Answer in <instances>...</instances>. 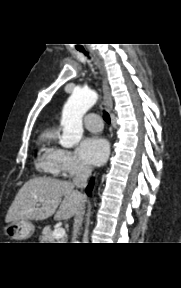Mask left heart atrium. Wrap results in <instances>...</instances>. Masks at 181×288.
Instances as JSON below:
<instances>
[{
	"instance_id": "39dd6f15",
	"label": "left heart atrium",
	"mask_w": 181,
	"mask_h": 288,
	"mask_svg": "<svg viewBox=\"0 0 181 288\" xmlns=\"http://www.w3.org/2000/svg\"><path fill=\"white\" fill-rule=\"evenodd\" d=\"M78 153L86 163L100 165L108 156L109 146L104 138L92 135L81 141Z\"/></svg>"
}]
</instances>
